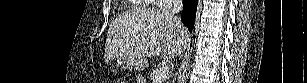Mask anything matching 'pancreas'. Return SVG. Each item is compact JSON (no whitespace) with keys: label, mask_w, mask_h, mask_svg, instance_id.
I'll return each mask as SVG.
<instances>
[{"label":"pancreas","mask_w":307,"mask_h":83,"mask_svg":"<svg viewBox=\"0 0 307 83\" xmlns=\"http://www.w3.org/2000/svg\"><path fill=\"white\" fill-rule=\"evenodd\" d=\"M157 72H158V69H157V68L154 69L153 72H151V74H150L151 80H154V78H155Z\"/></svg>","instance_id":"obj_1"}]
</instances>
